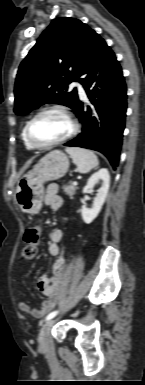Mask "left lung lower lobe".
<instances>
[{
	"instance_id": "left-lung-lower-lobe-1",
	"label": "left lung lower lobe",
	"mask_w": 145,
	"mask_h": 385,
	"mask_svg": "<svg viewBox=\"0 0 145 385\" xmlns=\"http://www.w3.org/2000/svg\"><path fill=\"white\" fill-rule=\"evenodd\" d=\"M80 76L83 78L79 82L93 108L88 107L85 111L83 103H79L75 113L83 125L82 133L65 146L99 151L116 167L125 128L127 89L114 52L97 33L94 34L90 53Z\"/></svg>"
}]
</instances>
